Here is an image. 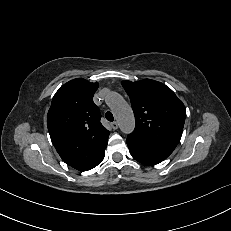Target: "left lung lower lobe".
<instances>
[{"label":"left lung lower lobe","mask_w":231,"mask_h":231,"mask_svg":"<svg viewBox=\"0 0 231 231\" xmlns=\"http://www.w3.org/2000/svg\"><path fill=\"white\" fill-rule=\"evenodd\" d=\"M126 142L132 157L140 163L146 165H155L162 162L164 159L168 157L166 155L156 154L143 150L142 148L138 147L137 145L131 142Z\"/></svg>","instance_id":"1"}]
</instances>
